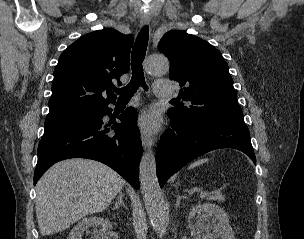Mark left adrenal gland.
<instances>
[{"label": "left adrenal gland", "mask_w": 304, "mask_h": 239, "mask_svg": "<svg viewBox=\"0 0 304 239\" xmlns=\"http://www.w3.org/2000/svg\"><path fill=\"white\" fill-rule=\"evenodd\" d=\"M184 198H186V197H185V196H177V197H176V208L179 206L180 201H181L182 199H184Z\"/></svg>", "instance_id": "obj_1"}]
</instances>
